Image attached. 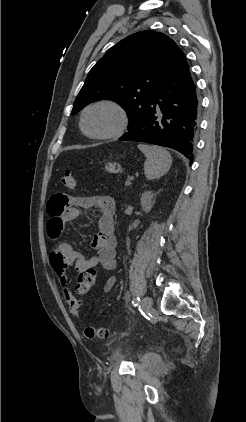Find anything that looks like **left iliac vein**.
I'll return each mask as SVG.
<instances>
[{
	"label": "left iliac vein",
	"mask_w": 246,
	"mask_h": 422,
	"mask_svg": "<svg viewBox=\"0 0 246 422\" xmlns=\"http://www.w3.org/2000/svg\"><path fill=\"white\" fill-rule=\"evenodd\" d=\"M142 306L146 310H150L152 307V298L149 296H145L142 300Z\"/></svg>",
	"instance_id": "4c4485c4"
}]
</instances>
